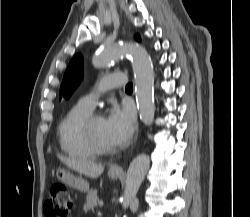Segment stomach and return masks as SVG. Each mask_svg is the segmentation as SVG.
<instances>
[{"label": "stomach", "mask_w": 250, "mask_h": 217, "mask_svg": "<svg viewBox=\"0 0 250 217\" xmlns=\"http://www.w3.org/2000/svg\"><path fill=\"white\" fill-rule=\"evenodd\" d=\"M111 179H117L118 174L116 173H109L108 174ZM57 178L62 181L64 184L75 188L81 192H88L89 191V184L87 181L82 179L81 177L74 176L69 171L64 168H58L56 171Z\"/></svg>", "instance_id": "1"}]
</instances>
